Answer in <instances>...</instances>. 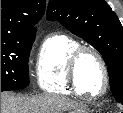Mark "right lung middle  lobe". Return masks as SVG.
I'll use <instances>...</instances> for the list:
<instances>
[{
    "label": "right lung middle lobe",
    "mask_w": 123,
    "mask_h": 113,
    "mask_svg": "<svg viewBox=\"0 0 123 113\" xmlns=\"http://www.w3.org/2000/svg\"><path fill=\"white\" fill-rule=\"evenodd\" d=\"M34 37L1 40V92L29 85L28 58Z\"/></svg>",
    "instance_id": "right-lung-middle-lobe-1"
}]
</instances>
